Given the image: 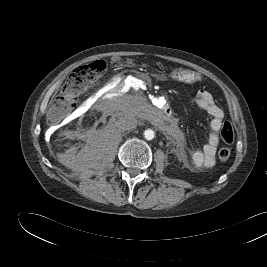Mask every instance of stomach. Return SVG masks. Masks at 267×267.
<instances>
[{"label":"stomach","mask_w":267,"mask_h":267,"mask_svg":"<svg viewBox=\"0 0 267 267\" xmlns=\"http://www.w3.org/2000/svg\"><path fill=\"white\" fill-rule=\"evenodd\" d=\"M171 77L177 81L185 83H194L200 80V76L198 74L191 70L183 68L174 69L171 73Z\"/></svg>","instance_id":"obj_1"}]
</instances>
